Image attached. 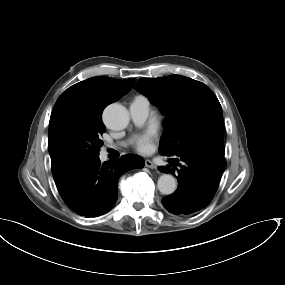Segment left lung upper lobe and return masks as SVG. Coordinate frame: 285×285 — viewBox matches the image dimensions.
Masks as SVG:
<instances>
[{
  "mask_svg": "<svg viewBox=\"0 0 285 285\" xmlns=\"http://www.w3.org/2000/svg\"><path fill=\"white\" fill-rule=\"evenodd\" d=\"M134 88L166 115L161 155L208 152L224 157L222 108L208 86L185 76L170 75L138 79Z\"/></svg>",
  "mask_w": 285,
  "mask_h": 285,
  "instance_id": "5c2ea615",
  "label": "left lung upper lobe"
}]
</instances>
